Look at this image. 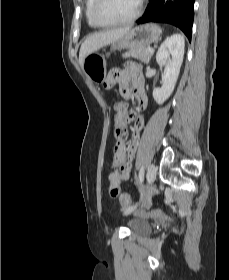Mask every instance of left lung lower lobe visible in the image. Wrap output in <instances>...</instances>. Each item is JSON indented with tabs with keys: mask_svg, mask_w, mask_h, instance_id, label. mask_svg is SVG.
Returning a JSON list of instances; mask_svg holds the SVG:
<instances>
[{
	"mask_svg": "<svg viewBox=\"0 0 229 280\" xmlns=\"http://www.w3.org/2000/svg\"><path fill=\"white\" fill-rule=\"evenodd\" d=\"M195 0H150L144 15L136 21L169 23L180 28L191 41Z\"/></svg>",
	"mask_w": 229,
	"mask_h": 280,
	"instance_id": "0a47b994",
	"label": "left lung lower lobe"
}]
</instances>
